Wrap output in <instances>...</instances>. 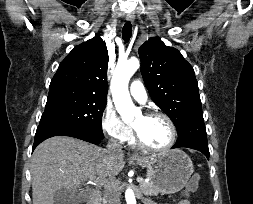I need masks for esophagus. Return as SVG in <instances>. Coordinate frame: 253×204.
Instances as JSON below:
<instances>
[{"label": "esophagus", "instance_id": "esophagus-1", "mask_svg": "<svg viewBox=\"0 0 253 204\" xmlns=\"http://www.w3.org/2000/svg\"><path fill=\"white\" fill-rule=\"evenodd\" d=\"M126 19H127V21H129V22H133L134 19H135V16H134V14H132V13H128L127 16H126ZM132 157H137V155H132Z\"/></svg>", "mask_w": 253, "mask_h": 204}]
</instances>
